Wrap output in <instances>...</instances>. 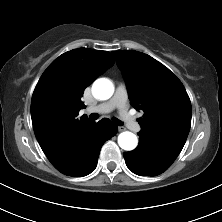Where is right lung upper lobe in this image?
Returning a JSON list of instances; mask_svg holds the SVG:
<instances>
[{"label":"right lung upper lobe","instance_id":"right-lung-upper-lobe-1","mask_svg":"<svg viewBox=\"0 0 222 222\" xmlns=\"http://www.w3.org/2000/svg\"><path fill=\"white\" fill-rule=\"evenodd\" d=\"M114 64L108 51L78 48L55 59L40 77L31 101L35 136L55 167L68 164L76 154L87 126L78 118L84 89Z\"/></svg>","mask_w":222,"mask_h":222}]
</instances>
